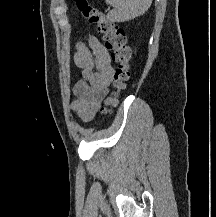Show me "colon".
Here are the masks:
<instances>
[{
	"label": "colon",
	"mask_w": 216,
	"mask_h": 217,
	"mask_svg": "<svg viewBox=\"0 0 216 217\" xmlns=\"http://www.w3.org/2000/svg\"><path fill=\"white\" fill-rule=\"evenodd\" d=\"M76 4L82 16L90 24L94 25L97 32L102 36L106 47L112 50L113 60L116 63L114 91L106 99L102 107V112L106 114L111 107L117 104L120 92L124 89L125 83L130 78L129 62L131 59V49L128 45L124 29L112 23L89 0H76Z\"/></svg>",
	"instance_id": "1"
}]
</instances>
